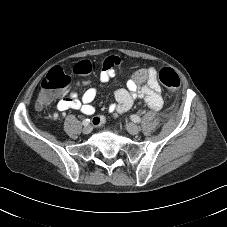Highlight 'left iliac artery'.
I'll return each mask as SVG.
<instances>
[{
	"label": "left iliac artery",
	"instance_id": "left-iliac-artery-1",
	"mask_svg": "<svg viewBox=\"0 0 227 227\" xmlns=\"http://www.w3.org/2000/svg\"><path fill=\"white\" fill-rule=\"evenodd\" d=\"M131 120L134 121L135 123L141 122V118L137 115H131Z\"/></svg>",
	"mask_w": 227,
	"mask_h": 227
}]
</instances>
